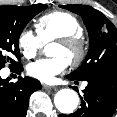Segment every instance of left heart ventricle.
I'll use <instances>...</instances> for the list:
<instances>
[{
  "label": "left heart ventricle",
  "instance_id": "obj_1",
  "mask_svg": "<svg viewBox=\"0 0 117 117\" xmlns=\"http://www.w3.org/2000/svg\"><path fill=\"white\" fill-rule=\"evenodd\" d=\"M50 55L52 56H63L66 59L69 60L70 58V53L64 48L62 47L60 44L55 43L51 49H50Z\"/></svg>",
  "mask_w": 117,
  "mask_h": 117
}]
</instances>
